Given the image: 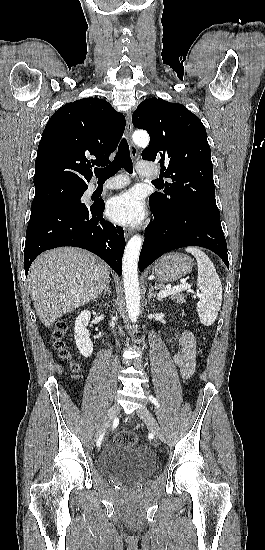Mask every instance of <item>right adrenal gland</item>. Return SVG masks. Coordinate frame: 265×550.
Returning <instances> with one entry per match:
<instances>
[{
    "label": "right adrenal gland",
    "mask_w": 265,
    "mask_h": 550,
    "mask_svg": "<svg viewBox=\"0 0 265 550\" xmlns=\"http://www.w3.org/2000/svg\"><path fill=\"white\" fill-rule=\"evenodd\" d=\"M103 292H104V294H106L107 292H108L109 294H111L110 282L106 285V287L104 288V291H103Z\"/></svg>",
    "instance_id": "obj_1"
}]
</instances>
